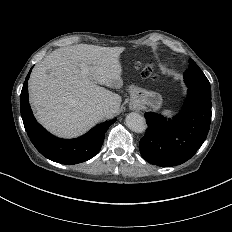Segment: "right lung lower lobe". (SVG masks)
I'll use <instances>...</instances> for the list:
<instances>
[{"instance_id": "right-lung-lower-lobe-1", "label": "right lung lower lobe", "mask_w": 232, "mask_h": 232, "mask_svg": "<svg viewBox=\"0 0 232 232\" xmlns=\"http://www.w3.org/2000/svg\"><path fill=\"white\" fill-rule=\"evenodd\" d=\"M31 70L21 91L20 111L24 127L33 145L43 156L61 164H77L94 157L101 149L107 129L116 119L97 125L76 139L54 137L35 120L32 114L28 101L27 84Z\"/></svg>"}]
</instances>
